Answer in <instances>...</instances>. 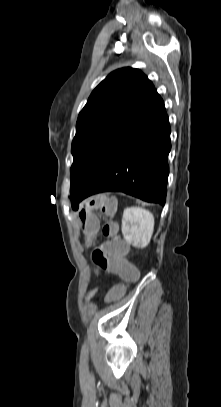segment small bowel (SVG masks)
I'll return each instance as SVG.
<instances>
[{
  "label": "small bowel",
  "instance_id": "1",
  "mask_svg": "<svg viewBox=\"0 0 221 407\" xmlns=\"http://www.w3.org/2000/svg\"><path fill=\"white\" fill-rule=\"evenodd\" d=\"M94 294H95V290L91 291V292L88 294V299H91V298L94 296Z\"/></svg>",
  "mask_w": 221,
  "mask_h": 407
}]
</instances>
